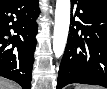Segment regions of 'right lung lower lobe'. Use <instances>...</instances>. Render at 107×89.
I'll return each mask as SVG.
<instances>
[{
	"label": "right lung lower lobe",
	"mask_w": 107,
	"mask_h": 89,
	"mask_svg": "<svg viewBox=\"0 0 107 89\" xmlns=\"http://www.w3.org/2000/svg\"><path fill=\"white\" fill-rule=\"evenodd\" d=\"M39 12L38 0L0 1V76L17 82L23 89L31 88L37 34L35 20ZM11 28L16 36L10 37Z\"/></svg>",
	"instance_id": "1"
}]
</instances>
